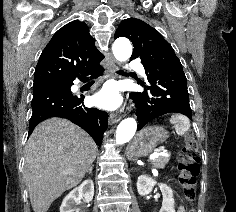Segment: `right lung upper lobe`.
Segmentation results:
<instances>
[{
    "instance_id": "obj_1",
    "label": "right lung upper lobe",
    "mask_w": 236,
    "mask_h": 212,
    "mask_svg": "<svg viewBox=\"0 0 236 212\" xmlns=\"http://www.w3.org/2000/svg\"><path fill=\"white\" fill-rule=\"evenodd\" d=\"M103 58L88 26L78 20L72 21L59 29L43 50L35 69L34 83H65L87 72Z\"/></svg>"
}]
</instances>
